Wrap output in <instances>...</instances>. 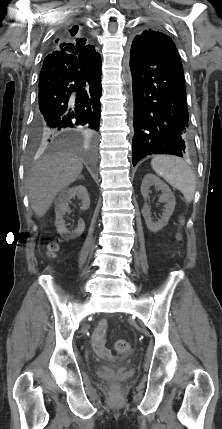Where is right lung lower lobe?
<instances>
[{
  "instance_id": "obj_1",
  "label": "right lung lower lobe",
  "mask_w": 222,
  "mask_h": 429,
  "mask_svg": "<svg viewBox=\"0 0 222 429\" xmlns=\"http://www.w3.org/2000/svg\"><path fill=\"white\" fill-rule=\"evenodd\" d=\"M51 52L39 77V101L32 133L47 140L76 130L93 135L99 129L101 59Z\"/></svg>"
}]
</instances>
